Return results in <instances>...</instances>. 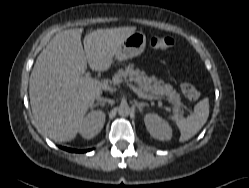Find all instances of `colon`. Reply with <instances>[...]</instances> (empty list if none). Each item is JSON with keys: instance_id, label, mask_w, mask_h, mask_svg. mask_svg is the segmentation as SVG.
<instances>
[{"instance_id": "obj_1", "label": "colon", "mask_w": 249, "mask_h": 188, "mask_svg": "<svg viewBox=\"0 0 249 188\" xmlns=\"http://www.w3.org/2000/svg\"><path fill=\"white\" fill-rule=\"evenodd\" d=\"M150 44L154 49L164 51L170 49L173 46L174 41L170 37L155 36L151 38ZM181 91L190 101H196L200 95L197 88L187 82L181 84Z\"/></svg>"}]
</instances>
